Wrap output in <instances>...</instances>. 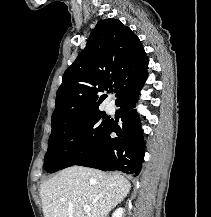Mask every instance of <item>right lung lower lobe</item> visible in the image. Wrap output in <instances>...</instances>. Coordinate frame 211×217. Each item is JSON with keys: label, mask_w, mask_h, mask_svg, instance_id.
I'll use <instances>...</instances> for the list:
<instances>
[{"label": "right lung lower lobe", "mask_w": 211, "mask_h": 217, "mask_svg": "<svg viewBox=\"0 0 211 217\" xmlns=\"http://www.w3.org/2000/svg\"><path fill=\"white\" fill-rule=\"evenodd\" d=\"M147 73L138 76L116 101L121 108V121L110 124L100 144L84 159L75 165L97 168L103 171L119 170L138 175L144 156V141L140 121L133 110ZM115 132L117 137L110 134Z\"/></svg>", "instance_id": "obj_1"}]
</instances>
